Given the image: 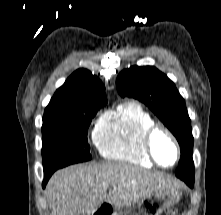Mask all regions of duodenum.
<instances>
[{"mask_svg":"<svg viewBox=\"0 0 221 215\" xmlns=\"http://www.w3.org/2000/svg\"><path fill=\"white\" fill-rule=\"evenodd\" d=\"M112 208L110 205L102 204L93 215H111Z\"/></svg>","mask_w":221,"mask_h":215,"instance_id":"410a0bca","label":"duodenum"}]
</instances>
